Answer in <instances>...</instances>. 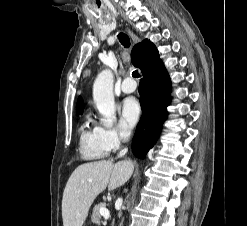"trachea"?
<instances>
[{
    "label": "trachea",
    "instance_id": "3493384b",
    "mask_svg": "<svg viewBox=\"0 0 247 226\" xmlns=\"http://www.w3.org/2000/svg\"><path fill=\"white\" fill-rule=\"evenodd\" d=\"M118 38H119L121 44H122L125 48H127V47L130 46V40H129V37H128L126 34L119 33ZM132 76H133L134 78H138V77H140V74H139V72H138L137 70H135V71L132 72Z\"/></svg>",
    "mask_w": 247,
    "mask_h": 226
}]
</instances>
